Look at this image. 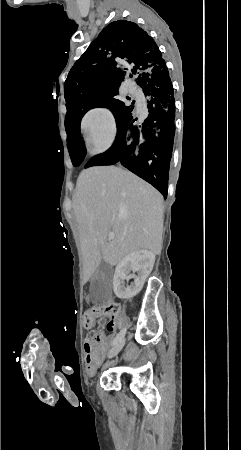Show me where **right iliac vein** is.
<instances>
[{
  "label": "right iliac vein",
  "instance_id": "right-iliac-vein-1",
  "mask_svg": "<svg viewBox=\"0 0 241 450\" xmlns=\"http://www.w3.org/2000/svg\"><path fill=\"white\" fill-rule=\"evenodd\" d=\"M124 343H125V339H122L117 344H115V346L109 350L108 357L112 358V357L116 356L123 348Z\"/></svg>",
  "mask_w": 241,
  "mask_h": 450
}]
</instances>
